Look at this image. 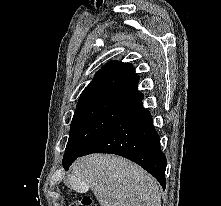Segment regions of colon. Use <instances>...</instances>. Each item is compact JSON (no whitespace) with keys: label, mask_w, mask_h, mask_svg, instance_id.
<instances>
[{"label":"colon","mask_w":221,"mask_h":206,"mask_svg":"<svg viewBox=\"0 0 221 206\" xmlns=\"http://www.w3.org/2000/svg\"><path fill=\"white\" fill-rule=\"evenodd\" d=\"M72 206H96L93 200L89 197H80Z\"/></svg>","instance_id":"obj_1"}]
</instances>
